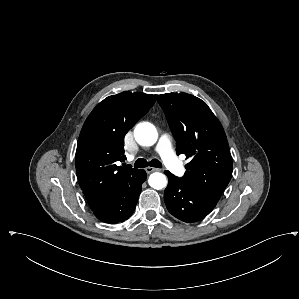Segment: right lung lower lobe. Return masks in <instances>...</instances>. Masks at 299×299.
<instances>
[{
    "instance_id": "1",
    "label": "right lung lower lobe",
    "mask_w": 299,
    "mask_h": 299,
    "mask_svg": "<svg viewBox=\"0 0 299 299\" xmlns=\"http://www.w3.org/2000/svg\"><path fill=\"white\" fill-rule=\"evenodd\" d=\"M146 179V172L141 169L125 179L122 184L92 211L101 221L109 224L123 222L128 219L137 204Z\"/></svg>"
}]
</instances>
